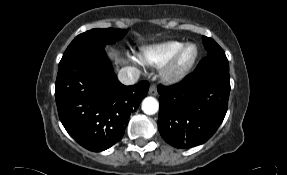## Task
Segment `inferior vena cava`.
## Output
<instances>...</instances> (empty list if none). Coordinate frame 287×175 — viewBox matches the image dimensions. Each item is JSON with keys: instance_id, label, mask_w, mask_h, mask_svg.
Listing matches in <instances>:
<instances>
[{"instance_id": "obj_1", "label": "inferior vena cava", "mask_w": 287, "mask_h": 175, "mask_svg": "<svg viewBox=\"0 0 287 175\" xmlns=\"http://www.w3.org/2000/svg\"><path fill=\"white\" fill-rule=\"evenodd\" d=\"M140 77V70L135 67H124L118 72V80L124 85L135 84Z\"/></svg>"}]
</instances>
